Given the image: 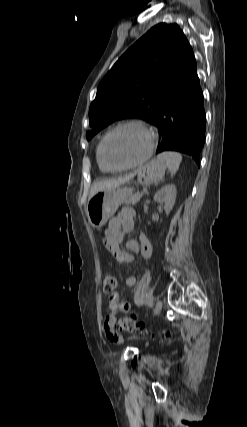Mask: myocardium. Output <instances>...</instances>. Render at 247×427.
<instances>
[{"label":"myocardium","instance_id":"f54148a6","mask_svg":"<svg viewBox=\"0 0 247 427\" xmlns=\"http://www.w3.org/2000/svg\"><path fill=\"white\" fill-rule=\"evenodd\" d=\"M130 126L140 128V129L144 130L148 134L149 139H150L148 149H147L146 153L139 160H137V161H135V162H133L131 164L124 165V166H119V167L112 166L108 162V160L106 158V154H105L106 143H107L108 139L115 132H117L118 130H120L122 128L130 127ZM156 144H157V133H156V131L151 126H149L148 124H146L144 122L138 121V120H127V121H123V122L115 125L113 128H111L104 135V137L101 140V144H100V158H101V161H102L103 165L109 171H111V172H120V171H124V170H128V169L137 167V166L142 165L143 163H145L152 156L153 151H154V149L156 147Z\"/></svg>","mask_w":247,"mask_h":427}]
</instances>
